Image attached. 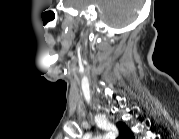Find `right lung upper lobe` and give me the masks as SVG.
I'll return each mask as SVG.
<instances>
[{
  "label": "right lung upper lobe",
  "mask_w": 179,
  "mask_h": 139,
  "mask_svg": "<svg viewBox=\"0 0 179 139\" xmlns=\"http://www.w3.org/2000/svg\"><path fill=\"white\" fill-rule=\"evenodd\" d=\"M117 127L120 130V139H134L133 133L124 123L118 122Z\"/></svg>",
  "instance_id": "right-lung-upper-lobe-1"
}]
</instances>
